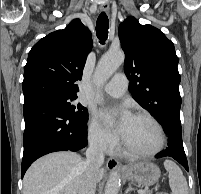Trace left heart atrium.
I'll return each mask as SVG.
<instances>
[{
    "label": "left heart atrium",
    "mask_w": 201,
    "mask_h": 194,
    "mask_svg": "<svg viewBox=\"0 0 201 194\" xmlns=\"http://www.w3.org/2000/svg\"><path fill=\"white\" fill-rule=\"evenodd\" d=\"M120 111H121V120L118 126L115 128V131L124 138L128 126L133 118V115L128 111L126 107H122ZM111 114L112 110L104 109L99 111V116L105 124L109 123Z\"/></svg>",
    "instance_id": "obj_1"
}]
</instances>
